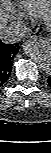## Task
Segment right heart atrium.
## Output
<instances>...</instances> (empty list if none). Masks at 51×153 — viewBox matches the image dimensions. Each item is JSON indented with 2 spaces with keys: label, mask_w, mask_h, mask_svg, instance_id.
<instances>
[{
  "label": "right heart atrium",
  "mask_w": 51,
  "mask_h": 153,
  "mask_svg": "<svg viewBox=\"0 0 51 153\" xmlns=\"http://www.w3.org/2000/svg\"><path fill=\"white\" fill-rule=\"evenodd\" d=\"M25 18L24 14L22 12H18L17 15L14 16V19L20 23Z\"/></svg>",
  "instance_id": "d8ad5b80"
}]
</instances>
